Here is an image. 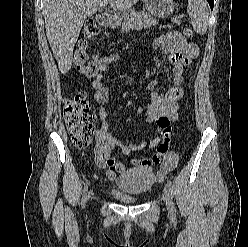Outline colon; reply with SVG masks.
<instances>
[{"label":"colon","mask_w":248,"mask_h":247,"mask_svg":"<svg viewBox=\"0 0 248 247\" xmlns=\"http://www.w3.org/2000/svg\"><path fill=\"white\" fill-rule=\"evenodd\" d=\"M99 31L100 27L96 21H88L84 26L83 39L74 52V64L85 77H94L99 71V60L97 58L88 60L87 49V40L98 35ZM184 34L191 37L193 32L190 28H185ZM64 119L73 144L78 148H87L95 132V117L90 113L84 94L79 93L66 101Z\"/></svg>","instance_id":"colon-1"}]
</instances>
